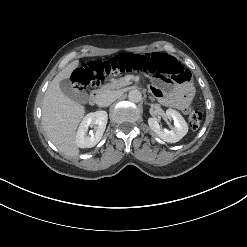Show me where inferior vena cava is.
<instances>
[{
	"mask_svg": "<svg viewBox=\"0 0 247 247\" xmlns=\"http://www.w3.org/2000/svg\"><path fill=\"white\" fill-rule=\"evenodd\" d=\"M118 98V94L115 91H106L102 93L97 100L99 106L107 107Z\"/></svg>",
	"mask_w": 247,
	"mask_h": 247,
	"instance_id": "obj_1",
	"label": "inferior vena cava"
}]
</instances>
